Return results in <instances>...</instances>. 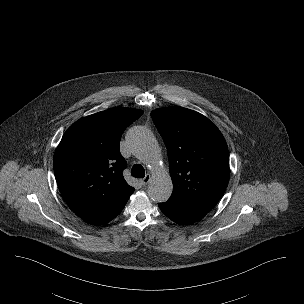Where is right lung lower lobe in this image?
Listing matches in <instances>:
<instances>
[{
	"mask_svg": "<svg viewBox=\"0 0 304 304\" xmlns=\"http://www.w3.org/2000/svg\"><path fill=\"white\" fill-rule=\"evenodd\" d=\"M125 204L119 208L113 215H111L108 219H106L103 223L101 224H106L108 223L109 221H111L112 219H114L116 216H118V214L122 211V209L124 208Z\"/></svg>",
	"mask_w": 304,
	"mask_h": 304,
	"instance_id": "obj_1",
	"label": "right lung lower lobe"
}]
</instances>
